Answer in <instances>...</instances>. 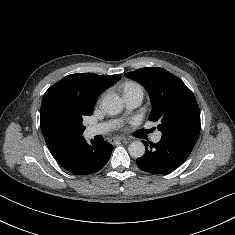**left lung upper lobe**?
Masks as SVG:
<instances>
[{
    "label": "left lung upper lobe",
    "instance_id": "left-lung-upper-lobe-1",
    "mask_svg": "<svg viewBox=\"0 0 235 235\" xmlns=\"http://www.w3.org/2000/svg\"><path fill=\"white\" fill-rule=\"evenodd\" d=\"M142 84L152 104L150 121H158L162 138L196 143L200 133L197 101L181 79L158 67L141 68L125 74Z\"/></svg>",
    "mask_w": 235,
    "mask_h": 235
}]
</instances>
